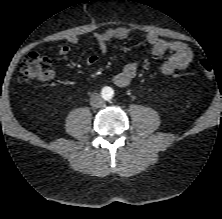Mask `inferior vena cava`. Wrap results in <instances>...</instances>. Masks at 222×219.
Here are the masks:
<instances>
[{"label": "inferior vena cava", "mask_w": 222, "mask_h": 219, "mask_svg": "<svg viewBox=\"0 0 222 219\" xmlns=\"http://www.w3.org/2000/svg\"><path fill=\"white\" fill-rule=\"evenodd\" d=\"M90 104L94 108H99L103 105V99L99 94L95 93L90 98Z\"/></svg>", "instance_id": "inferior-vena-cava-1"}]
</instances>
